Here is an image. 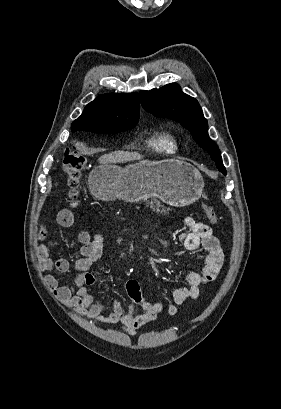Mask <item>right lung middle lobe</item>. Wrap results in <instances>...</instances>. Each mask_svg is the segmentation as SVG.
I'll return each instance as SVG.
<instances>
[{
	"label": "right lung middle lobe",
	"instance_id": "right-lung-middle-lobe-1",
	"mask_svg": "<svg viewBox=\"0 0 281 409\" xmlns=\"http://www.w3.org/2000/svg\"><path fill=\"white\" fill-rule=\"evenodd\" d=\"M135 125L132 126H125V127H82L76 130H72V132L76 131H90L94 133H101V134H115L118 132L126 131L133 128Z\"/></svg>",
	"mask_w": 281,
	"mask_h": 409
}]
</instances>
